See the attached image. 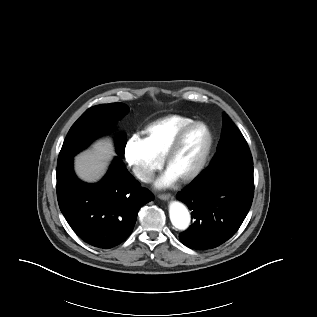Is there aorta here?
<instances>
[{"label":"aorta","mask_w":317,"mask_h":317,"mask_svg":"<svg viewBox=\"0 0 317 317\" xmlns=\"http://www.w3.org/2000/svg\"><path fill=\"white\" fill-rule=\"evenodd\" d=\"M169 216L172 225L178 230H186L190 225V213L186 206L180 202L170 204Z\"/></svg>","instance_id":"aorta-1"}]
</instances>
